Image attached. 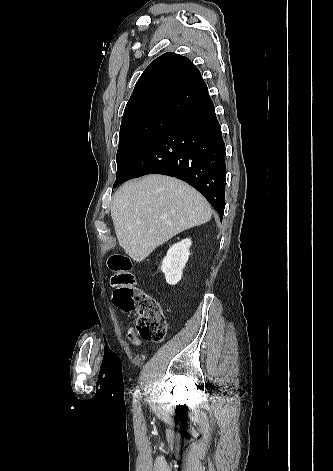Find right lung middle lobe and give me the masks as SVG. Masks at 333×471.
<instances>
[{
	"instance_id": "1",
	"label": "right lung middle lobe",
	"mask_w": 333,
	"mask_h": 471,
	"mask_svg": "<svg viewBox=\"0 0 333 471\" xmlns=\"http://www.w3.org/2000/svg\"><path fill=\"white\" fill-rule=\"evenodd\" d=\"M174 119V117L160 114H140L122 118L116 156V180L122 176L144 148L173 123Z\"/></svg>"
}]
</instances>
